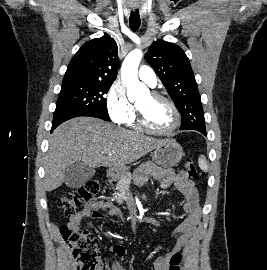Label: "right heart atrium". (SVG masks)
Returning a JSON list of instances; mask_svg holds the SVG:
<instances>
[{"mask_svg":"<svg viewBox=\"0 0 267 270\" xmlns=\"http://www.w3.org/2000/svg\"><path fill=\"white\" fill-rule=\"evenodd\" d=\"M106 106L110 118L120 124H126L135 118V109L128 101L124 88L114 83L106 97Z\"/></svg>","mask_w":267,"mask_h":270,"instance_id":"obj_1","label":"right heart atrium"}]
</instances>
